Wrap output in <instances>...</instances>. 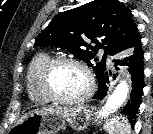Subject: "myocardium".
I'll return each instance as SVG.
<instances>
[{"label": "myocardium", "instance_id": "obj_1", "mask_svg": "<svg viewBox=\"0 0 153 134\" xmlns=\"http://www.w3.org/2000/svg\"><path fill=\"white\" fill-rule=\"evenodd\" d=\"M74 65L80 68L87 78L86 91L77 98H64L58 95L52 88L51 77L53 71L60 65ZM40 87L43 93L51 100L65 105H79L86 102L93 94L95 88V81L90 68L82 61L69 57L51 58L42 68L40 73Z\"/></svg>", "mask_w": 153, "mask_h": 134}]
</instances>
